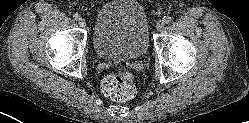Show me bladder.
Listing matches in <instances>:
<instances>
[{
    "instance_id": "31cf9c89",
    "label": "bladder",
    "mask_w": 249,
    "mask_h": 123,
    "mask_svg": "<svg viewBox=\"0 0 249 123\" xmlns=\"http://www.w3.org/2000/svg\"><path fill=\"white\" fill-rule=\"evenodd\" d=\"M95 53L104 59H134L149 46V23L139 0H108L96 12L92 31Z\"/></svg>"
}]
</instances>
